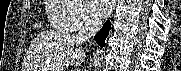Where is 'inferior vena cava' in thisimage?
Instances as JSON below:
<instances>
[{
	"instance_id": "inferior-vena-cava-1",
	"label": "inferior vena cava",
	"mask_w": 181,
	"mask_h": 71,
	"mask_svg": "<svg viewBox=\"0 0 181 71\" xmlns=\"http://www.w3.org/2000/svg\"><path fill=\"white\" fill-rule=\"evenodd\" d=\"M102 22L98 18L87 16L80 25L77 41L84 43L92 38L101 28Z\"/></svg>"
}]
</instances>
